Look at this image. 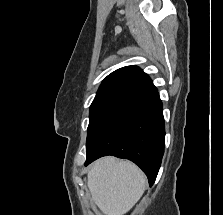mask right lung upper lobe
I'll use <instances>...</instances> for the list:
<instances>
[{
	"label": "right lung upper lobe",
	"mask_w": 223,
	"mask_h": 215,
	"mask_svg": "<svg viewBox=\"0 0 223 215\" xmlns=\"http://www.w3.org/2000/svg\"><path fill=\"white\" fill-rule=\"evenodd\" d=\"M125 91L142 96L157 92L152 80L137 66H126L109 74L99 87L96 96Z\"/></svg>",
	"instance_id": "1"
}]
</instances>
